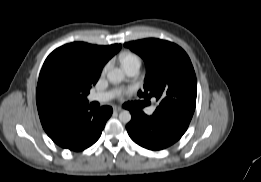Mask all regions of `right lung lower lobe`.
<instances>
[{"label":"right lung lower lobe","mask_w":261,"mask_h":182,"mask_svg":"<svg viewBox=\"0 0 261 182\" xmlns=\"http://www.w3.org/2000/svg\"><path fill=\"white\" fill-rule=\"evenodd\" d=\"M112 111L109 106H103L98 111L89 107L77 109L49 137L62 148L82 151L99 139Z\"/></svg>","instance_id":"right-lung-lower-lobe-1"}]
</instances>
